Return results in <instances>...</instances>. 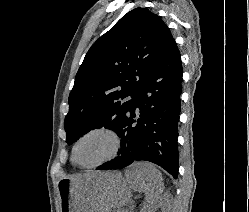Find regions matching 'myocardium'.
I'll return each mask as SVG.
<instances>
[{"mask_svg": "<svg viewBox=\"0 0 249 212\" xmlns=\"http://www.w3.org/2000/svg\"><path fill=\"white\" fill-rule=\"evenodd\" d=\"M95 134H107V135H109L114 141L113 151L106 158H104L103 160H101L95 164H90V165L80 164L77 161L78 147L84 139H86L87 137H89L91 135H95ZM123 148H124V138L117 129H115L114 127L109 126V125L95 126L93 128H90L89 130L85 131L75 141L73 148H72V161L76 166H78L81 169H96V168H99V167L105 165L106 163L114 160L115 158H117L121 154Z\"/></svg>", "mask_w": 249, "mask_h": 212, "instance_id": "1", "label": "myocardium"}]
</instances>
